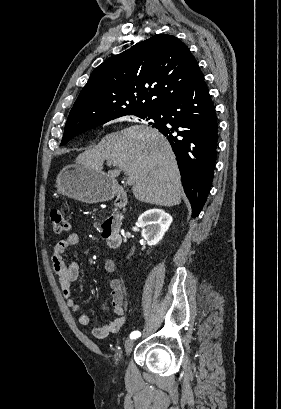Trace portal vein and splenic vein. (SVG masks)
<instances>
[{"mask_svg":"<svg viewBox=\"0 0 281 409\" xmlns=\"http://www.w3.org/2000/svg\"><path fill=\"white\" fill-rule=\"evenodd\" d=\"M107 164H112V162H107ZM136 177L135 176H126V178H124L123 182H126V184L130 187L131 185H135L136 184Z\"/></svg>","mask_w":281,"mask_h":409,"instance_id":"obj_1","label":"portal vein and splenic vein"}]
</instances>
